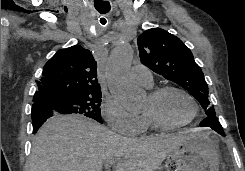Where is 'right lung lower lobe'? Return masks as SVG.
Returning a JSON list of instances; mask_svg holds the SVG:
<instances>
[{"mask_svg": "<svg viewBox=\"0 0 245 171\" xmlns=\"http://www.w3.org/2000/svg\"><path fill=\"white\" fill-rule=\"evenodd\" d=\"M59 114L45 102H36L32 106L33 133L50 117Z\"/></svg>", "mask_w": 245, "mask_h": 171, "instance_id": "right-lung-lower-lobe-1", "label": "right lung lower lobe"}]
</instances>
